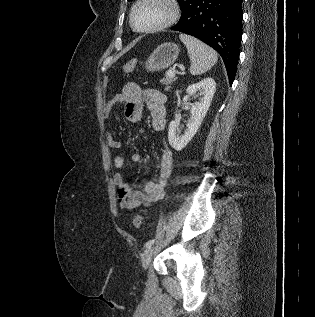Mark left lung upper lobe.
I'll return each mask as SVG.
<instances>
[{
    "instance_id": "obj_1",
    "label": "left lung upper lobe",
    "mask_w": 315,
    "mask_h": 317,
    "mask_svg": "<svg viewBox=\"0 0 315 317\" xmlns=\"http://www.w3.org/2000/svg\"><path fill=\"white\" fill-rule=\"evenodd\" d=\"M131 1V0H128ZM182 8V14L186 11V9L190 6L193 0H177Z\"/></svg>"
}]
</instances>
